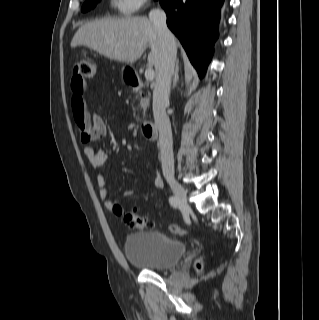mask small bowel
I'll return each mask as SVG.
<instances>
[{"label":"small bowel","instance_id":"c3829d8e","mask_svg":"<svg viewBox=\"0 0 319 320\" xmlns=\"http://www.w3.org/2000/svg\"><path fill=\"white\" fill-rule=\"evenodd\" d=\"M72 89H73V112L83 113L85 118L88 120L93 139H99L103 137L106 133L107 126L104 119L96 113H90L87 110L86 102L83 98V93L86 90V84H80L75 78L72 79ZM84 155L88 160L89 164L93 168H99L106 162L107 154L104 151L96 150L92 146H87L84 149ZM97 183L99 185L98 196L103 201L106 208L110 209L112 207V202L109 200V190L106 186V180L104 176H97ZM153 184L156 188L163 187V180L159 176H155L153 179ZM134 190H126L124 192V197L130 198L134 195Z\"/></svg>","mask_w":319,"mask_h":320}]
</instances>
